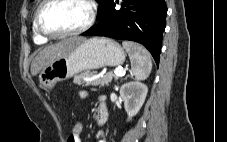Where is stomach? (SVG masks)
<instances>
[{
    "instance_id": "1",
    "label": "stomach",
    "mask_w": 227,
    "mask_h": 142,
    "mask_svg": "<svg viewBox=\"0 0 227 142\" xmlns=\"http://www.w3.org/2000/svg\"><path fill=\"white\" fill-rule=\"evenodd\" d=\"M125 57L124 49L117 42L94 37L44 68L39 75L40 85L44 89H52L57 82L67 80L82 71L119 66L123 64Z\"/></svg>"
}]
</instances>
